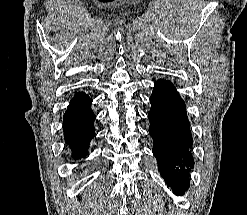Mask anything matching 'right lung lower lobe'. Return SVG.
<instances>
[{
    "label": "right lung lower lobe",
    "instance_id": "obj_1",
    "mask_svg": "<svg viewBox=\"0 0 247 215\" xmlns=\"http://www.w3.org/2000/svg\"><path fill=\"white\" fill-rule=\"evenodd\" d=\"M91 102L88 95L77 93L64 114V137L75 158L87 154L89 142L95 135V115L90 109Z\"/></svg>",
    "mask_w": 247,
    "mask_h": 215
}]
</instances>
